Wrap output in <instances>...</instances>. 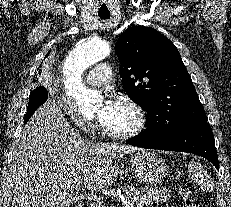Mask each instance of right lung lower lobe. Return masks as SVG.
<instances>
[{"instance_id": "right-lung-lower-lobe-1", "label": "right lung lower lobe", "mask_w": 231, "mask_h": 207, "mask_svg": "<svg viewBox=\"0 0 231 207\" xmlns=\"http://www.w3.org/2000/svg\"><path fill=\"white\" fill-rule=\"evenodd\" d=\"M47 97H48V92L45 89L41 93V95H38L33 100L29 101L27 113H26L25 118H24V123H26L29 120V118L32 116V114L35 112V110L47 100Z\"/></svg>"}]
</instances>
